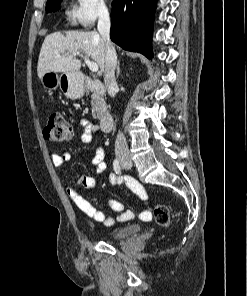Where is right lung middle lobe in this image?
I'll list each match as a JSON object with an SVG mask.
<instances>
[{"instance_id": "dd1d6c3e", "label": "right lung middle lobe", "mask_w": 247, "mask_h": 296, "mask_svg": "<svg viewBox=\"0 0 247 296\" xmlns=\"http://www.w3.org/2000/svg\"><path fill=\"white\" fill-rule=\"evenodd\" d=\"M62 0H47L46 11H56L59 8V4Z\"/></svg>"}]
</instances>
